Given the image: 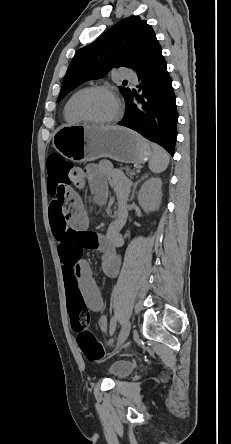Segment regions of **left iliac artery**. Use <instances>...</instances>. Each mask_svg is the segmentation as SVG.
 Segmentation results:
<instances>
[{
    "instance_id": "44dca946",
    "label": "left iliac artery",
    "mask_w": 231,
    "mask_h": 444,
    "mask_svg": "<svg viewBox=\"0 0 231 444\" xmlns=\"http://www.w3.org/2000/svg\"><path fill=\"white\" fill-rule=\"evenodd\" d=\"M115 328H116V317L113 316V317L111 318V322H110V334H111V335L114 333Z\"/></svg>"
}]
</instances>
